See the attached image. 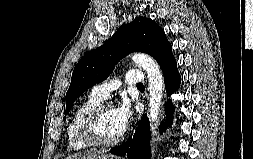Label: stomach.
<instances>
[{
    "instance_id": "stomach-1",
    "label": "stomach",
    "mask_w": 253,
    "mask_h": 159,
    "mask_svg": "<svg viewBox=\"0 0 253 159\" xmlns=\"http://www.w3.org/2000/svg\"><path fill=\"white\" fill-rule=\"evenodd\" d=\"M102 159H117L116 157H113V158H111V157H106V158H102Z\"/></svg>"
}]
</instances>
